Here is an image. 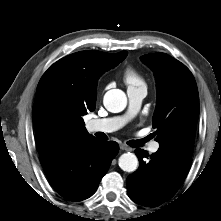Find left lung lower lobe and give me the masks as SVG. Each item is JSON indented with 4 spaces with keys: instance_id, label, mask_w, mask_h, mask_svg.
<instances>
[{
    "instance_id": "obj_1",
    "label": "left lung lower lobe",
    "mask_w": 221,
    "mask_h": 221,
    "mask_svg": "<svg viewBox=\"0 0 221 221\" xmlns=\"http://www.w3.org/2000/svg\"><path fill=\"white\" fill-rule=\"evenodd\" d=\"M139 168L127 177V191L135 203L156 207L169 200L184 181L191 157L171 149L159 148L149 161L142 149H136Z\"/></svg>"
}]
</instances>
